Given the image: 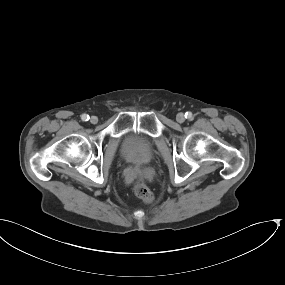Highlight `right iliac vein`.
<instances>
[{"mask_svg": "<svg viewBox=\"0 0 285 285\" xmlns=\"http://www.w3.org/2000/svg\"><path fill=\"white\" fill-rule=\"evenodd\" d=\"M90 122H91L92 124H96V123L98 122V118H97L96 116H92V117L90 118Z\"/></svg>", "mask_w": 285, "mask_h": 285, "instance_id": "63e3f726", "label": "right iliac vein"}]
</instances>
